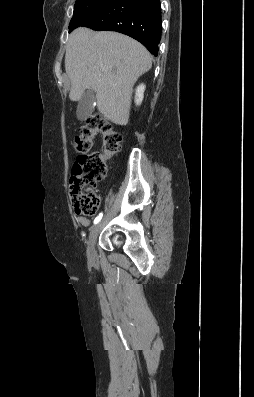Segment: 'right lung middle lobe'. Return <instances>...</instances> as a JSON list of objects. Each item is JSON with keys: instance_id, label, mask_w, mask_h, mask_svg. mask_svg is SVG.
<instances>
[{"instance_id": "dd1d6c3e", "label": "right lung middle lobe", "mask_w": 254, "mask_h": 397, "mask_svg": "<svg viewBox=\"0 0 254 397\" xmlns=\"http://www.w3.org/2000/svg\"><path fill=\"white\" fill-rule=\"evenodd\" d=\"M109 0H76L69 32L81 26L86 20L97 14Z\"/></svg>"}]
</instances>
